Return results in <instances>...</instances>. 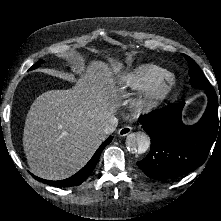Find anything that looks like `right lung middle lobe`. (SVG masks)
<instances>
[{
	"label": "right lung middle lobe",
	"mask_w": 221,
	"mask_h": 221,
	"mask_svg": "<svg viewBox=\"0 0 221 221\" xmlns=\"http://www.w3.org/2000/svg\"><path fill=\"white\" fill-rule=\"evenodd\" d=\"M43 62H44L43 60L38 61V62H37L36 64H34L29 70L38 68L39 65H40L41 63H43Z\"/></svg>",
	"instance_id": "obj_1"
}]
</instances>
